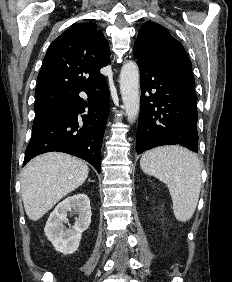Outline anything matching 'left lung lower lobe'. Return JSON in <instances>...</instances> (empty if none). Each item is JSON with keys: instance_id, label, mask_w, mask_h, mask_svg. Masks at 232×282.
Here are the masks:
<instances>
[{"instance_id": "1", "label": "left lung lower lobe", "mask_w": 232, "mask_h": 282, "mask_svg": "<svg viewBox=\"0 0 232 282\" xmlns=\"http://www.w3.org/2000/svg\"><path fill=\"white\" fill-rule=\"evenodd\" d=\"M137 64L141 74L137 153L176 144L198 153L197 96L191 64L181 60Z\"/></svg>"}]
</instances>
